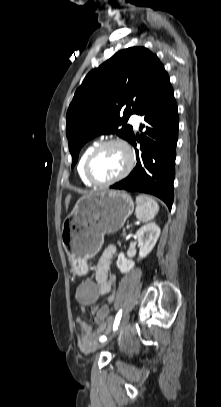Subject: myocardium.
<instances>
[{
    "instance_id": "myocardium-1",
    "label": "myocardium",
    "mask_w": 221,
    "mask_h": 407,
    "mask_svg": "<svg viewBox=\"0 0 221 407\" xmlns=\"http://www.w3.org/2000/svg\"><path fill=\"white\" fill-rule=\"evenodd\" d=\"M111 145H118V146H120V147H122L124 149V151L127 154V159H128L127 160V165L124 168V170L119 175H117L116 177H114L112 179H109V180H106V181L97 180L92 175V172H91L92 162L95 159V157L103 149H105L106 147L111 146ZM134 166H135V155H134V152H133L132 148L130 147V145L127 142H125L124 140H122V139L111 138V139H108V140H105V141L99 143L96 147H94L92 149V151L86 157V160L84 162L83 170H84V175H85L86 179L92 185H95V186H109V185L117 183V182L121 181L122 179H124L125 177H127L131 173V171L133 170Z\"/></svg>"
}]
</instances>
